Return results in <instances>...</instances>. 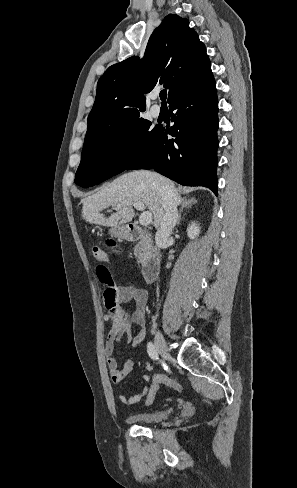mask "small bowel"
<instances>
[{
  "label": "small bowel",
  "instance_id": "1",
  "mask_svg": "<svg viewBox=\"0 0 297 488\" xmlns=\"http://www.w3.org/2000/svg\"><path fill=\"white\" fill-rule=\"evenodd\" d=\"M104 262L109 261V257L105 256L102 259ZM117 300L119 304H129L134 305V310L132 314L121 312V324L120 330L126 336L127 341L130 342L132 348H136L140 345L145 337L146 329V308L148 296L145 289L137 287L135 285L126 284L117 286ZM139 328L137 334L134 335V327ZM117 342V335L115 332H111L106 340L105 345V357L107 361V366L109 369V374L112 381L120 386L126 377L130 375L134 367V360L132 357L126 359L122 366L118 364V361L114 355V349ZM150 366L146 367V372L143 374V380L145 382H153L150 374L148 373ZM150 386L142 387L137 394L128 397L124 393L119 392L118 398L120 402L127 406H132L141 401L146 397V392L150 389Z\"/></svg>",
  "mask_w": 297,
  "mask_h": 488
}]
</instances>
